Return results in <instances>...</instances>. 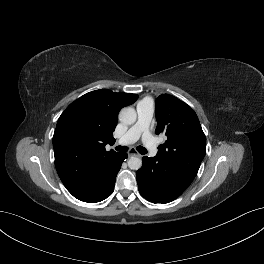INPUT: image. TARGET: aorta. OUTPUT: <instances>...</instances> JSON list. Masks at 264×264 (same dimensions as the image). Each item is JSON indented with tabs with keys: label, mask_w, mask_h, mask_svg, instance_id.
<instances>
[{
	"label": "aorta",
	"mask_w": 264,
	"mask_h": 264,
	"mask_svg": "<svg viewBox=\"0 0 264 264\" xmlns=\"http://www.w3.org/2000/svg\"><path fill=\"white\" fill-rule=\"evenodd\" d=\"M137 114L134 108L124 107L119 113V120L126 125L135 123ZM128 167L132 170H138L142 166V160L138 157H131L127 161Z\"/></svg>",
	"instance_id": "aorta-1"
}]
</instances>
